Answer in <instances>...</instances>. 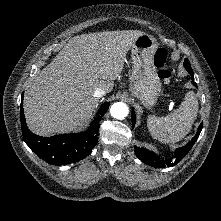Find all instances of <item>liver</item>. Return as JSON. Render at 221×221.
Returning <instances> with one entry per match:
<instances>
[{
    "label": "liver",
    "mask_w": 221,
    "mask_h": 221,
    "mask_svg": "<svg viewBox=\"0 0 221 221\" xmlns=\"http://www.w3.org/2000/svg\"><path fill=\"white\" fill-rule=\"evenodd\" d=\"M143 32L104 31L70 39L33 80L25 98L29 128L37 135L71 132L97 107V88L109 93L126 55Z\"/></svg>",
    "instance_id": "obj_1"
}]
</instances>
